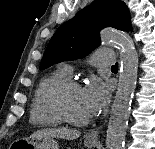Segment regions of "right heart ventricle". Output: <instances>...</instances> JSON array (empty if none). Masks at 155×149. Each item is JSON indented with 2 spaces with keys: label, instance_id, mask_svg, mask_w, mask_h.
<instances>
[{
  "label": "right heart ventricle",
  "instance_id": "e07e8e85",
  "mask_svg": "<svg viewBox=\"0 0 155 149\" xmlns=\"http://www.w3.org/2000/svg\"><path fill=\"white\" fill-rule=\"evenodd\" d=\"M68 79L69 76L62 69H57L40 80L30 107V123L43 127L62 124L63 120L54 107L53 97L57 87Z\"/></svg>",
  "mask_w": 155,
  "mask_h": 149
}]
</instances>
